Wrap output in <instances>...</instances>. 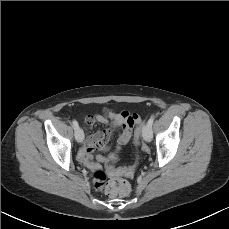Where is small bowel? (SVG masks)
I'll return each mask as SVG.
<instances>
[{"instance_id": "1", "label": "small bowel", "mask_w": 229, "mask_h": 229, "mask_svg": "<svg viewBox=\"0 0 229 229\" xmlns=\"http://www.w3.org/2000/svg\"><path fill=\"white\" fill-rule=\"evenodd\" d=\"M136 117H138L136 114L130 113L126 110L116 113L110 109H104L102 114L85 117L84 122L88 127H92L95 123H102L110 124L114 128L120 127L122 131L118 135L115 148L109 151L106 156L98 155L95 158L92 156L95 150L107 149V142L114 134V129L109 128L86 136L83 139L82 147L78 150V160L92 170L99 168L100 163H104L107 171L111 175L116 174L117 169L113 164L118 158L121 147L127 144L131 139L134 127L132 122Z\"/></svg>"}]
</instances>
